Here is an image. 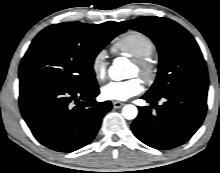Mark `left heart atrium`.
Here are the masks:
<instances>
[{
    "instance_id": "39dd6f15",
    "label": "left heart atrium",
    "mask_w": 220,
    "mask_h": 173,
    "mask_svg": "<svg viewBox=\"0 0 220 173\" xmlns=\"http://www.w3.org/2000/svg\"><path fill=\"white\" fill-rule=\"evenodd\" d=\"M142 83L137 78L126 81H112L102 87V96L106 100L124 101L141 92Z\"/></svg>"
}]
</instances>
